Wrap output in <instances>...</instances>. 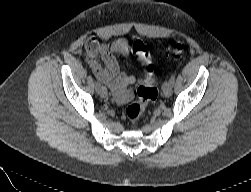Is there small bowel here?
<instances>
[{
	"mask_svg": "<svg viewBox=\"0 0 251 192\" xmlns=\"http://www.w3.org/2000/svg\"><path fill=\"white\" fill-rule=\"evenodd\" d=\"M85 56L95 77L111 89L119 103H126L132 98L129 86L138 82V79L121 70L118 57L135 56L144 69L152 66L148 49L142 41H135L130 46L127 40L118 39L108 46L89 38L85 44Z\"/></svg>",
	"mask_w": 251,
	"mask_h": 192,
	"instance_id": "1",
	"label": "small bowel"
}]
</instances>
